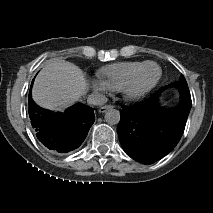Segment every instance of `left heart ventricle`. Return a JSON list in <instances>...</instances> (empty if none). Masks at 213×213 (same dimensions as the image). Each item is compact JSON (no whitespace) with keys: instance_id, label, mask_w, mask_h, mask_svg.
<instances>
[{"instance_id":"left-heart-ventricle-1","label":"left heart ventricle","mask_w":213,"mask_h":213,"mask_svg":"<svg viewBox=\"0 0 213 213\" xmlns=\"http://www.w3.org/2000/svg\"><path fill=\"white\" fill-rule=\"evenodd\" d=\"M157 69L149 65L147 66L139 75L133 89L134 90H141L149 86L154 79L156 78Z\"/></svg>"}]
</instances>
